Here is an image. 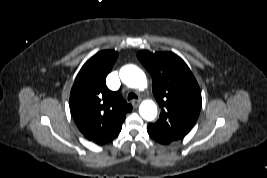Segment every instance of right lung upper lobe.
I'll return each mask as SVG.
<instances>
[{"label":"right lung upper lobe","mask_w":267,"mask_h":178,"mask_svg":"<svg viewBox=\"0 0 267 178\" xmlns=\"http://www.w3.org/2000/svg\"><path fill=\"white\" fill-rule=\"evenodd\" d=\"M118 52L105 50L90 58L78 73L70 93V110L80 132L89 140L102 145L112 141L121 131L127 104L118 91L106 86Z\"/></svg>","instance_id":"obj_1"}]
</instances>
